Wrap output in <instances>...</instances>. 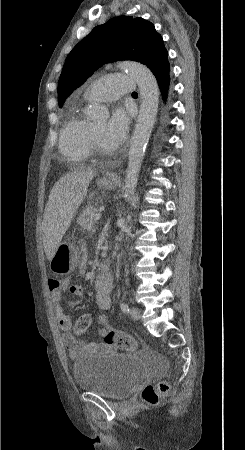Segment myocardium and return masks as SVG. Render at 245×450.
I'll return each instance as SVG.
<instances>
[{
  "instance_id": "myocardium-1",
  "label": "myocardium",
  "mask_w": 245,
  "mask_h": 450,
  "mask_svg": "<svg viewBox=\"0 0 245 450\" xmlns=\"http://www.w3.org/2000/svg\"><path fill=\"white\" fill-rule=\"evenodd\" d=\"M90 137L92 146L96 148L101 154H109L110 151L101 143L97 135L95 134L93 127L90 128Z\"/></svg>"
}]
</instances>
